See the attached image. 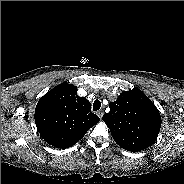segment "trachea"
<instances>
[{
	"label": "trachea",
	"mask_w": 184,
	"mask_h": 184,
	"mask_svg": "<svg viewBox=\"0 0 184 184\" xmlns=\"http://www.w3.org/2000/svg\"><path fill=\"white\" fill-rule=\"evenodd\" d=\"M101 107V102L99 100H95L93 103V111H98Z\"/></svg>",
	"instance_id": "3493384b"
}]
</instances>
